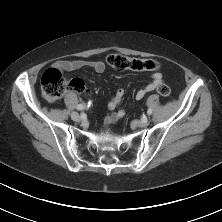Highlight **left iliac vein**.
<instances>
[{
  "label": "left iliac vein",
  "instance_id": "1",
  "mask_svg": "<svg viewBox=\"0 0 222 222\" xmlns=\"http://www.w3.org/2000/svg\"><path fill=\"white\" fill-rule=\"evenodd\" d=\"M149 124V120L147 118H143L142 120L136 122V125L139 127H146Z\"/></svg>",
  "mask_w": 222,
  "mask_h": 222
}]
</instances>
